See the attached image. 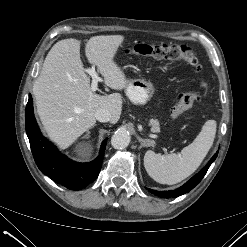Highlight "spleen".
<instances>
[{
  "instance_id": "obj_1",
  "label": "spleen",
  "mask_w": 247,
  "mask_h": 247,
  "mask_svg": "<svg viewBox=\"0 0 247 247\" xmlns=\"http://www.w3.org/2000/svg\"><path fill=\"white\" fill-rule=\"evenodd\" d=\"M216 121L208 120L194 141L180 154L161 155L149 150L144 156V166L151 178L161 184H176L194 173L213 145Z\"/></svg>"
}]
</instances>
